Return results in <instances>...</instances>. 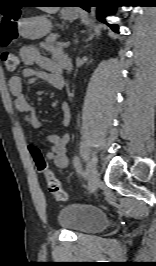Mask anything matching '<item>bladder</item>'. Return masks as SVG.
I'll return each mask as SVG.
<instances>
[{
	"instance_id": "bladder-1",
	"label": "bladder",
	"mask_w": 156,
	"mask_h": 266,
	"mask_svg": "<svg viewBox=\"0 0 156 266\" xmlns=\"http://www.w3.org/2000/svg\"><path fill=\"white\" fill-rule=\"evenodd\" d=\"M57 221L62 228L78 234L94 233L104 229L108 218L95 206L71 203L59 210Z\"/></svg>"
}]
</instances>
